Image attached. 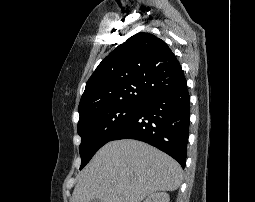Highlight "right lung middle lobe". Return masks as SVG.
Listing matches in <instances>:
<instances>
[{"mask_svg": "<svg viewBox=\"0 0 255 202\" xmlns=\"http://www.w3.org/2000/svg\"><path fill=\"white\" fill-rule=\"evenodd\" d=\"M141 105H115L99 109L79 119L77 132L82 169L92 156L135 115Z\"/></svg>", "mask_w": 255, "mask_h": 202, "instance_id": "obj_1", "label": "right lung middle lobe"}]
</instances>
